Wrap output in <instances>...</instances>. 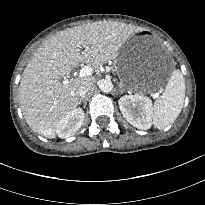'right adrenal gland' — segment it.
Listing matches in <instances>:
<instances>
[{
    "instance_id": "right-adrenal-gland-1",
    "label": "right adrenal gland",
    "mask_w": 205,
    "mask_h": 205,
    "mask_svg": "<svg viewBox=\"0 0 205 205\" xmlns=\"http://www.w3.org/2000/svg\"><path fill=\"white\" fill-rule=\"evenodd\" d=\"M84 100H85L84 97L80 98V100H79V104H81Z\"/></svg>"
}]
</instances>
